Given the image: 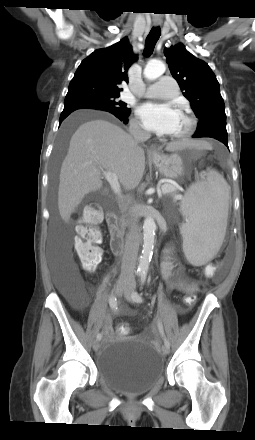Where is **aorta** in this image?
I'll return each instance as SVG.
<instances>
[{
    "mask_svg": "<svg viewBox=\"0 0 255 440\" xmlns=\"http://www.w3.org/2000/svg\"><path fill=\"white\" fill-rule=\"evenodd\" d=\"M166 70L165 64L159 60H151L144 69V76L148 80H155L164 74ZM156 224L151 216L145 218L143 223V247L140 256L138 272L145 275L148 271L149 264L153 255L155 242Z\"/></svg>",
    "mask_w": 255,
    "mask_h": 440,
    "instance_id": "aorta-1",
    "label": "aorta"
}]
</instances>
